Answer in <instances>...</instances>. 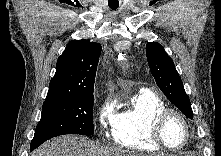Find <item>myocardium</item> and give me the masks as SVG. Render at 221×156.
Returning a JSON list of instances; mask_svg holds the SVG:
<instances>
[{"mask_svg":"<svg viewBox=\"0 0 221 156\" xmlns=\"http://www.w3.org/2000/svg\"><path fill=\"white\" fill-rule=\"evenodd\" d=\"M171 115H176L177 117H179L181 119V121L183 122V124L185 126V130H186V136H185L184 142L182 143V145H180L179 147H175V148L168 146L165 143V141L163 139V135H162V131H163V127L165 125V122L167 121V119ZM151 138H152L153 142L163 150H166L169 152L181 151L187 146V144L189 143L190 138H191L190 122L181 111L174 109V108H165L155 116V118L152 122Z\"/></svg>","mask_w":221,"mask_h":156,"instance_id":"f54148a6","label":"myocardium"}]
</instances>
